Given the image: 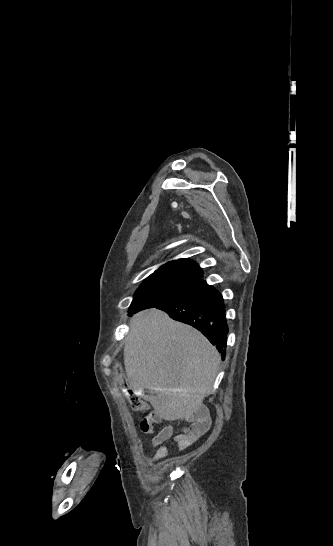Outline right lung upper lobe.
Here are the masks:
<instances>
[{"mask_svg": "<svg viewBox=\"0 0 333 546\" xmlns=\"http://www.w3.org/2000/svg\"><path fill=\"white\" fill-rule=\"evenodd\" d=\"M152 275H166L188 280L203 281V279H201L203 275L201 268L195 261L189 259H178L168 262L157 269L155 274Z\"/></svg>", "mask_w": 333, "mask_h": 546, "instance_id": "cb5924a9", "label": "right lung upper lobe"}]
</instances>
